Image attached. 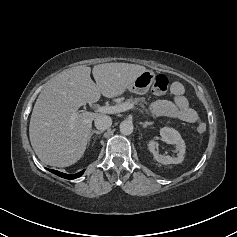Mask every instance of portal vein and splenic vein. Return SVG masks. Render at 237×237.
I'll list each match as a JSON object with an SVG mask.
<instances>
[{
  "mask_svg": "<svg viewBox=\"0 0 237 237\" xmlns=\"http://www.w3.org/2000/svg\"><path fill=\"white\" fill-rule=\"evenodd\" d=\"M134 107V105L132 103H122L119 105H115V106H102V107H98L96 108V112H100V113H108V114H114V113H119V112H123V111H127L130 110ZM76 113H74L72 115V119H74L76 117Z\"/></svg>",
  "mask_w": 237,
  "mask_h": 237,
  "instance_id": "1",
  "label": "portal vein and splenic vein"
}]
</instances>
